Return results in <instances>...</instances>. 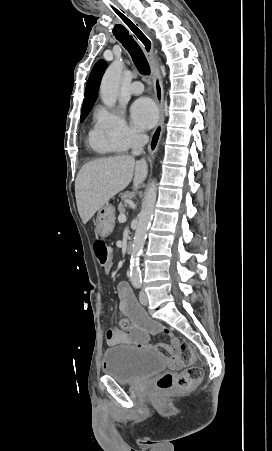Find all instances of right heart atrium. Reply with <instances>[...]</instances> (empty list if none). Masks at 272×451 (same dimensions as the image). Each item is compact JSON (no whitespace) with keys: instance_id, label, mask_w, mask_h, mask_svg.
I'll return each mask as SVG.
<instances>
[{"instance_id":"obj_1","label":"right heart atrium","mask_w":272,"mask_h":451,"mask_svg":"<svg viewBox=\"0 0 272 451\" xmlns=\"http://www.w3.org/2000/svg\"><path fill=\"white\" fill-rule=\"evenodd\" d=\"M96 130L102 138L120 149H125L135 134L126 122L122 111L105 108L100 109L97 113Z\"/></svg>"}]
</instances>
